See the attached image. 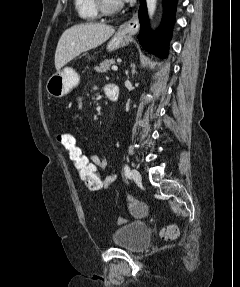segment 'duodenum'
Here are the masks:
<instances>
[{"instance_id": "duodenum-1", "label": "duodenum", "mask_w": 240, "mask_h": 287, "mask_svg": "<svg viewBox=\"0 0 240 287\" xmlns=\"http://www.w3.org/2000/svg\"><path fill=\"white\" fill-rule=\"evenodd\" d=\"M107 97L111 101H117L120 95L119 86L115 83L109 84V89L107 91Z\"/></svg>"}]
</instances>
